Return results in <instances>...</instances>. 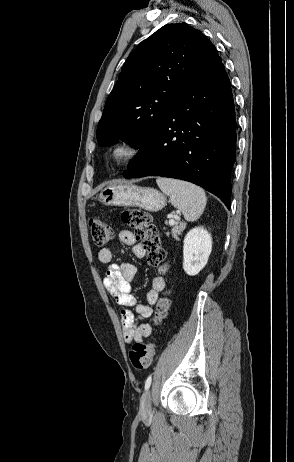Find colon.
I'll return each mask as SVG.
<instances>
[{"mask_svg": "<svg viewBox=\"0 0 294 462\" xmlns=\"http://www.w3.org/2000/svg\"><path fill=\"white\" fill-rule=\"evenodd\" d=\"M122 221L128 225L135 236L137 244L143 249L148 262L158 268L161 273L168 271L166 254L162 248L158 231L148 212L140 209H128L121 214ZM89 231L96 246H105L112 237L110 224L102 218L93 217L89 220ZM170 300L167 296L160 299L157 304L154 324L160 325L167 316ZM155 343L136 342L129 352L133 367L137 370L147 369L155 354Z\"/></svg>", "mask_w": 294, "mask_h": 462, "instance_id": "obj_1", "label": "colon"}]
</instances>
